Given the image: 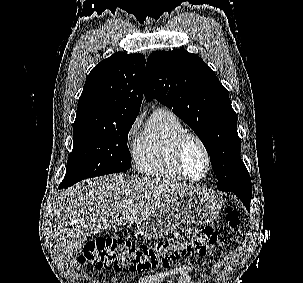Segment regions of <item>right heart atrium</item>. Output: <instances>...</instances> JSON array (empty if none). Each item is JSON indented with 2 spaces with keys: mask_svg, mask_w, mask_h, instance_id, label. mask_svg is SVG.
<instances>
[{
  "mask_svg": "<svg viewBox=\"0 0 303 283\" xmlns=\"http://www.w3.org/2000/svg\"><path fill=\"white\" fill-rule=\"evenodd\" d=\"M138 127H139V122L138 121H136L132 124V126L130 127L129 132H128V139L129 140L132 139L135 136V134L138 130Z\"/></svg>",
  "mask_w": 303,
  "mask_h": 283,
  "instance_id": "d8ad5b80",
  "label": "right heart atrium"
}]
</instances>
